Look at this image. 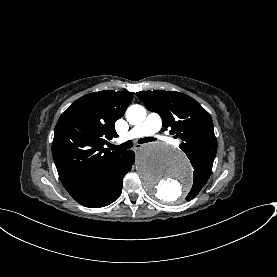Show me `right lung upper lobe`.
Wrapping results in <instances>:
<instances>
[{
	"instance_id": "1",
	"label": "right lung upper lobe",
	"mask_w": 277,
	"mask_h": 277,
	"mask_svg": "<svg viewBox=\"0 0 277 277\" xmlns=\"http://www.w3.org/2000/svg\"><path fill=\"white\" fill-rule=\"evenodd\" d=\"M133 96L134 92H94L77 99L62 113L55 127L52 154L67 191L123 154L105 149L104 144L118 136L115 121L124 115Z\"/></svg>"
}]
</instances>
